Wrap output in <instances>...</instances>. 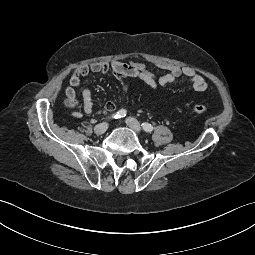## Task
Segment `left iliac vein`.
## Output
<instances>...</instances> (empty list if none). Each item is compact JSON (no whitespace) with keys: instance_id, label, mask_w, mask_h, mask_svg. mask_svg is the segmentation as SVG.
I'll return each instance as SVG.
<instances>
[{"instance_id":"1","label":"left iliac vein","mask_w":255,"mask_h":255,"mask_svg":"<svg viewBox=\"0 0 255 255\" xmlns=\"http://www.w3.org/2000/svg\"><path fill=\"white\" fill-rule=\"evenodd\" d=\"M126 124L132 129L134 130L136 133H140L141 132V126L140 123L132 117H128L126 119Z\"/></svg>"}]
</instances>
